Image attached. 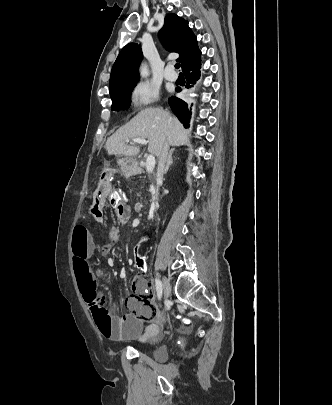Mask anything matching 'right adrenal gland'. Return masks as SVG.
<instances>
[{
	"label": "right adrenal gland",
	"instance_id": "obj_1",
	"mask_svg": "<svg viewBox=\"0 0 332 405\" xmlns=\"http://www.w3.org/2000/svg\"><path fill=\"white\" fill-rule=\"evenodd\" d=\"M174 151H175V149H171V150H170V153H169V156H168V160H167V164H166V167H165V170H164V173H165V174L168 172L170 165L173 163V158H172V156H173Z\"/></svg>",
	"mask_w": 332,
	"mask_h": 405
}]
</instances>
